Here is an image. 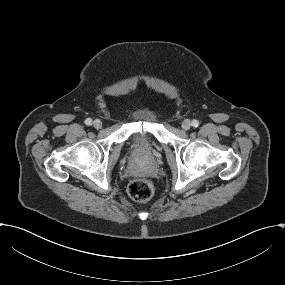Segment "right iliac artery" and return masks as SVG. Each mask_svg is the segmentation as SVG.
<instances>
[{
    "label": "right iliac artery",
    "mask_w": 285,
    "mask_h": 285,
    "mask_svg": "<svg viewBox=\"0 0 285 285\" xmlns=\"http://www.w3.org/2000/svg\"><path fill=\"white\" fill-rule=\"evenodd\" d=\"M85 124L88 125V126L92 125V119L87 118V119L85 120Z\"/></svg>",
    "instance_id": "obj_1"
}]
</instances>
